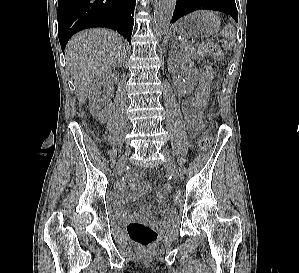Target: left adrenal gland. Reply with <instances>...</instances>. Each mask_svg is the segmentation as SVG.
Masks as SVG:
<instances>
[{"mask_svg":"<svg viewBox=\"0 0 299 273\" xmlns=\"http://www.w3.org/2000/svg\"><path fill=\"white\" fill-rule=\"evenodd\" d=\"M171 47H172V48L175 47V38H174L173 41H172Z\"/></svg>","mask_w":299,"mask_h":273,"instance_id":"1","label":"left adrenal gland"}]
</instances>
